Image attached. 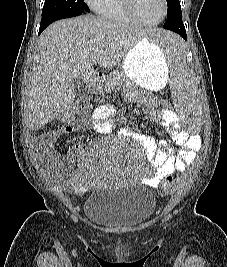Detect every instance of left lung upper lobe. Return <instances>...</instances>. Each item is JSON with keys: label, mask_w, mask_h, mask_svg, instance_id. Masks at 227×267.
Returning <instances> with one entry per match:
<instances>
[{"label": "left lung upper lobe", "mask_w": 227, "mask_h": 267, "mask_svg": "<svg viewBox=\"0 0 227 267\" xmlns=\"http://www.w3.org/2000/svg\"><path fill=\"white\" fill-rule=\"evenodd\" d=\"M168 5L167 18L181 11L179 0H166Z\"/></svg>", "instance_id": "left-lung-upper-lobe-1"}]
</instances>
